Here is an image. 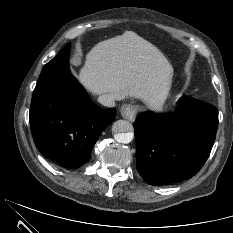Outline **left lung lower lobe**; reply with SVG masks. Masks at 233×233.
<instances>
[{"label":"left lung lower lobe","instance_id":"left-lung-lower-lobe-1","mask_svg":"<svg viewBox=\"0 0 233 233\" xmlns=\"http://www.w3.org/2000/svg\"><path fill=\"white\" fill-rule=\"evenodd\" d=\"M164 114L143 112L136 118V165L144 180L154 186L194 176L213 147L218 110L198 99L182 96L172 122Z\"/></svg>","mask_w":233,"mask_h":233}]
</instances>
